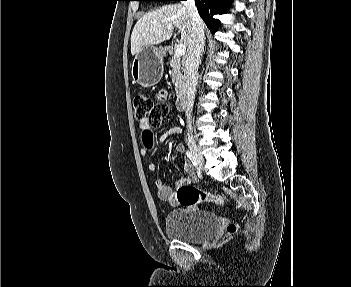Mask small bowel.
<instances>
[{"label":"small bowel","mask_w":351,"mask_h":287,"mask_svg":"<svg viewBox=\"0 0 351 287\" xmlns=\"http://www.w3.org/2000/svg\"><path fill=\"white\" fill-rule=\"evenodd\" d=\"M139 128L141 130V133H140L141 145H144V147L141 149V154L143 156H154L155 150H148V148L149 149L152 148L154 145V142H156V136H153V133H155V127H150L147 118H143L139 120ZM181 132H182L181 127L173 126L169 130L161 134L158 138V141L163 142L166 139H168L171 135H178V134H181ZM175 150L178 153H183L185 150L184 144L177 143L175 146ZM146 168L148 171L154 172L156 170V165L152 162H149L146 164ZM183 169L185 172V176L179 178L176 181L177 187H180L185 184L193 183L196 181V175L191 161H189L188 159H185L183 164ZM155 188H156L158 197L161 200L166 201L171 205L178 204L174 190L170 186H168L162 179L155 180Z\"/></svg>","instance_id":"c3829d8e"}]
</instances>
